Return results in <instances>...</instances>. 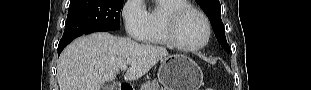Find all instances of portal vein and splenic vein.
Instances as JSON below:
<instances>
[{
	"label": "portal vein and splenic vein",
	"mask_w": 311,
	"mask_h": 90,
	"mask_svg": "<svg viewBox=\"0 0 311 90\" xmlns=\"http://www.w3.org/2000/svg\"><path fill=\"white\" fill-rule=\"evenodd\" d=\"M127 68H128V66H127V65H124V66H121V67H120V70H121V71H126Z\"/></svg>",
	"instance_id": "portal-vein-and-splenic-vein-1"
}]
</instances>
